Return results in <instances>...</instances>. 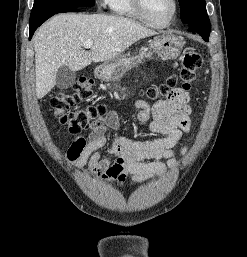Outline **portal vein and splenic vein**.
Returning <instances> with one entry per match:
<instances>
[{
	"instance_id": "portal-vein-and-splenic-vein-1",
	"label": "portal vein and splenic vein",
	"mask_w": 247,
	"mask_h": 257,
	"mask_svg": "<svg viewBox=\"0 0 247 257\" xmlns=\"http://www.w3.org/2000/svg\"><path fill=\"white\" fill-rule=\"evenodd\" d=\"M83 46L85 48H91L93 46V41L92 40H86L84 43H83Z\"/></svg>"
}]
</instances>
